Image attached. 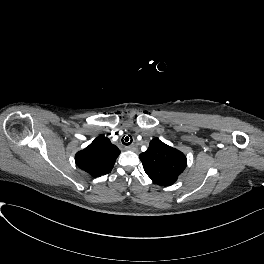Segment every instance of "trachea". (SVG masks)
<instances>
[{"mask_svg": "<svg viewBox=\"0 0 264 264\" xmlns=\"http://www.w3.org/2000/svg\"><path fill=\"white\" fill-rule=\"evenodd\" d=\"M133 142V139H132V137L131 136H127V137H125L124 139H122V143L124 144V145H130L131 143Z\"/></svg>", "mask_w": 264, "mask_h": 264, "instance_id": "obj_1", "label": "trachea"}]
</instances>
